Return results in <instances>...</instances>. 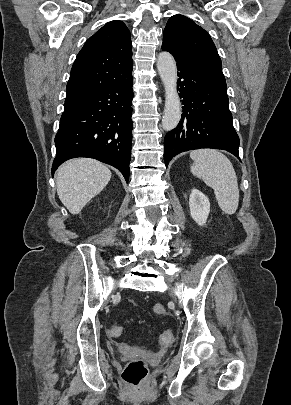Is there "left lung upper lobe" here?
<instances>
[{"label": "left lung upper lobe", "mask_w": 291, "mask_h": 405, "mask_svg": "<svg viewBox=\"0 0 291 405\" xmlns=\"http://www.w3.org/2000/svg\"><path fill=\"white\" fill-rule=\"evenodd\" d=\"M162 47L188 60L222 65L210 35L183 15H174L168 20Z\"/></svg>", "instance_id": "left-lung-upper-lobe-1"}]
</instances>
